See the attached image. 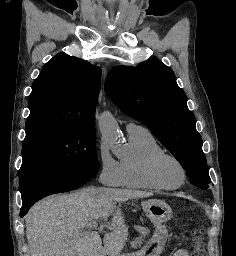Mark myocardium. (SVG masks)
<instances>
[{
	"label": "myocardium",
	"instance_id": "myocardium-1",
	"mask_svg": "<svg viewBox=\"0 0 236 256\" xmlns=\"http://www.w3.org/2000/svg\"><path fill=\"white\" fill-rule=\"evenodd\" d=\"M167 160H171L174 163H176L179 168L182 171V180L177 183V184H173L171 182H169L167 179L164 178V176L162 175V166L163 164L167 161ZM187 170L185 165L183 164V162L176 157L173 154L170 153H161V154H157L154 155L148 162L147 165V176L149 178V180L156 185L159 188L162 189H177L179 187H181L187 180Z\"/></svg>",
	"mask_w": 236,
	"mask_h": 256
}]
</instances>
